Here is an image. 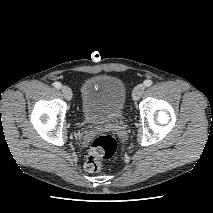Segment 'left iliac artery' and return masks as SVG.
<instances>
[{"mask_svg":"<svg viewBox=\"0 0 213 213\" xmlns=\"http://www.w3.org/2000/svg\"><path fill=\"white\" fill-rule=\"evenodd\" d=\"M144 85L146 86V87H149V86H151L152 85V81L151 80H145L144 81Z\"/></svg>","mask_w":213,"mask_h":213,"instance_id":"left-iliac-artery-1","label":"left iliac artery"}]
</instances>
